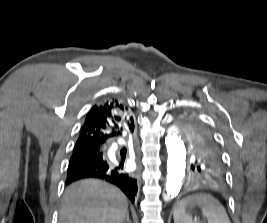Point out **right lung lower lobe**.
<instances>
[{
	"instance_id": "obj_1",
	"label": "right lung lower lobe",
	"mask_w": 267,
	"mask_h": 223,
	"mask_svg": "<svg viewBox=\"0 0 267 223\" xmlns=\"http://www.w3.org/2000/svg\"><path fill=\"white\" fill-rule=\"evenodd\" d=\"M122 169L108 159L105 146L93 154L69 162L66 185L86 178L101 179L118 186L134 202L138 190L137 180Z\"/></svg>"
}]
</instances>
